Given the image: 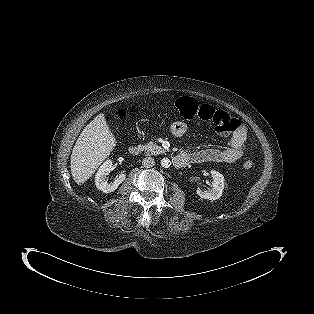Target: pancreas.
I'll use <instances>...</instances> for the list:
<instances>
[{"instance_id": "cf45deb5", "label": "pancreas", "mask_w": 314, "mask_h": 314, "mask_svg": "<svg viewBox=\"0 0 314 314\" xmlns=\"http://www.w3.org/2000/svg\"><path fill=\"white\" fill-rule=\"evenodd\" d=\"M143 149L146 155H159L165 153V150L162 147L153 142L143 145Z\"/></svg>"}]
</instances>
